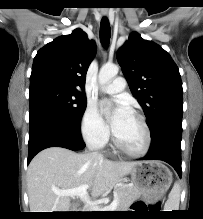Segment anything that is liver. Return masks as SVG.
Returning <instances> with one entry per match:
<instances>
[{
	"label": "liver",
	"instance_id": "1",
	"mask_svg": "<svg viewBox=\"0 0 203 219\" xmlns=\"http://www.w3.org/2000/svg\"><path fill=\"white\" fill-rule=\"evenodd\" d=\"M137 162H114L93 154H80L61 147L39 152L27 171V189L31 212H74L69 196L55 191L88 185L98 198L111 190Z\"/></svg>",
	"mask_w": 203,
	"mask_h": 219
}]
</instances>
